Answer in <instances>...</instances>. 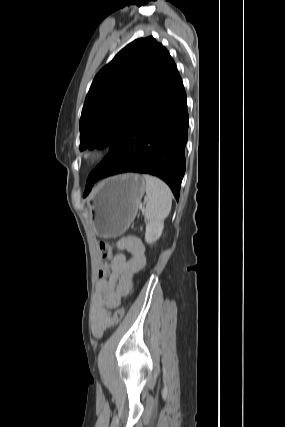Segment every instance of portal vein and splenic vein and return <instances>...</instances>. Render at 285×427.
<instances>
[{
	"mask_svg": "<svg viewBox=\"0 0 285 427\" xmlns=\"http://www.w3.org/2000/svg\"><path fill=\"white\" fill-rule=\"evenodd\" d=\"M142 212H144V208H142Z\"/></svg>",
	"mask_w": 285,
	"mask_h": 427,
	"instance_id": "18ae733b",
	"label": "portal vein and splenic vein"
}]
</instances>
